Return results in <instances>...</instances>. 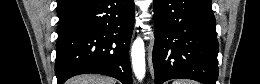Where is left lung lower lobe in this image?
Segmentation results:
<instances>
[{
	"label": "left lung lower lobe",
	"instance_id": "obj_1",
	"mask_svg": "<svg viewBox=\"0 0 260 84\" xmlns=\"http://www.w3.org/2000/svg\"><path fill=\"white\" fill-rule=\"evenodd\" d=\"M155 83L186 78L216 84L218 41L211 0H154Z\"/></svg>",
	"mask_w": 260,
	"mask_h": 84
}]
</instances>
